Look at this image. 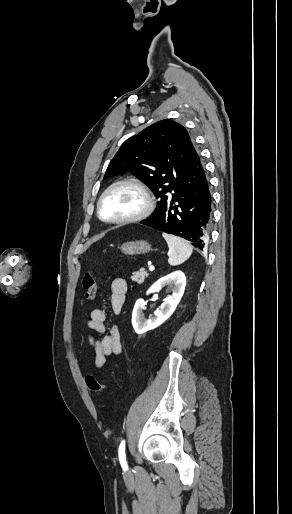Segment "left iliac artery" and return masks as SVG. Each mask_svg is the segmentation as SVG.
<instances>
[{
  "instance_id": "44dca946",
  "label": "left iliac artery",
  "mask_w": 292,
  "mask_h": 514,
  "mask_svg": "<svg viewBox=\"0 0 292 514\" xmlns=\"http://www.w3.org/2000/svg\"><path fill=\"white\" fill-rule=\"evenodd\" d=\"M118 457H119V461H120L122 468L127 469L128 466H127L126 455H125V440H122L119 445Z\"/></svg>"
}]
</instances>
